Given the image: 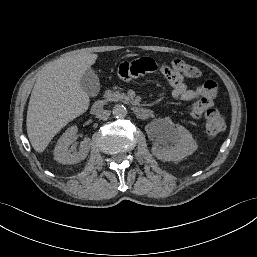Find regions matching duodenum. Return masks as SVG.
<instances>
[{
  "instance_id": "duodenum-1",
  "label": "duodenum",
  "mask_w": 257,
  "mask_h": 257,
  "mask_svg": "<svg viewBox=\"0 0 257 257\" xmlns=\"http://www.w3.org/2000/svg\"><path fill=\"white\" fill-rule=\"evenodd\" d=\"M103 108L104 103L101 100H97L92 105V112L98 114L103 110ZM133 110L136 116L140 119H147L152 115V111L144 107L134 106Z\"/></svg>"
}]
</instances>
